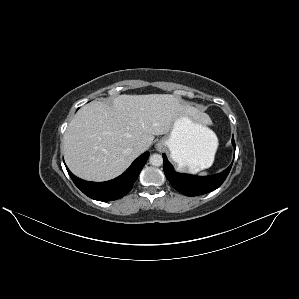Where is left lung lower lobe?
Returning <instances> with one entry per match:
<instances>
[{
    "label": "left lung lower lobe",
    "instance_id": "0a47b994",
    "mask_svg": "<svg viewBox=\"0 0 299 299\" xmlns=\"http://www.w3.org/2000/svg\"><path fill=\"white\" fill-rule=\"evenodd\" d=\"M232 144L235 149L234 138H232ZM162 156L164 160V173L171 185L180 193L190 197L205 194L217 189L222 185L232 167L231 163V165L223 172L213 176H194L175 172L165 154H162Z\"/></svg>",
    "mask_w": 299,
    "mask_h": 299
}]
</instances>
